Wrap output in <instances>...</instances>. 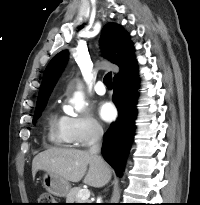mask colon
I'll use <instances>...</instances> for the list:
<instances>
[{"mask_svg":"<svg viewBox=\"0 0 200 205\" xmlns=\"http://www.w3.org/2000/svg\"><path fill=\"white\" fill-rule=\"evenodd\" d=\"M54 199L52 195L43 193L39 196L38 205H53Z\"/></svg>","mask_w":200,"mask_h":205,"instance_id":"1","label":"colon"}]
</instances>
